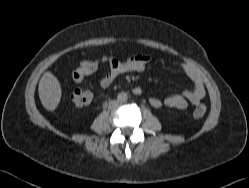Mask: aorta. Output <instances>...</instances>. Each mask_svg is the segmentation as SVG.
<instances>
[{"label":"aorta","instance_id":"aorta-1","mask_svg":"<svg viewBox=\"0 0 249 188\" xmlns=\"http://www.w3.org/2000/svg\"><path fill=\"white\" fill-rule=\"evenodd\" d=\"M128 99V95L125 92H121L117 95V100L120 103H125Z\"/></svg>","mask_w":249,"mask_h":188}]
</instances>
